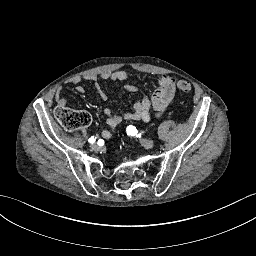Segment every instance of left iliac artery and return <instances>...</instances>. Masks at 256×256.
I'll list each match as a JSON object with an SVG mask.
<instances>
[{"label":"left iliac artery","mask_w":256,"mask_h":256,"mask_svg":"<svg viewBox=\"0 0 256 256\" xmlns=\"http://www.w3.org/2000/svg\"><path fill=\"white\" fill-rule=\"evenodd\" d=\"M126 131H127V134H128V135L136 136V137H141V134H138V135H137L138 131H137V129H136L134 126H132V125H129V126L127 127Z\"/></svg>","instance_id":"1"}]
</instances>
